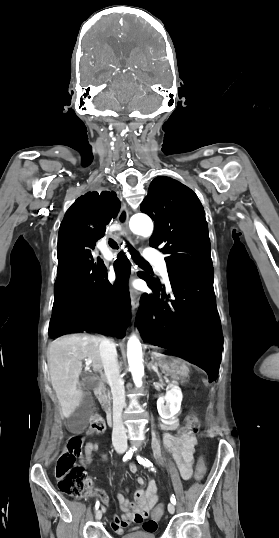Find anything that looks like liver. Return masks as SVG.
<instances>
[{"label":"liver","mask_w":279,"mask_h":538,"mask_svg":"<svg viewBox=\"0 0 279 538\" xmlns=\"http://www.w3.org/2000/svg\"><path fill=\"white\" fill-rule=\"evenodd\" d=\"M103 340L87 334H70L49 344L47 362L51 384L64 418H70L82 402L83 392L78 388L82 360H92L94 372H101L103 364L99 346Z\"/></svg>","instance_id":"liver-1"}]
</instances>
